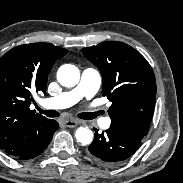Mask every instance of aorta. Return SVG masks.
Wrapping results in <instances>:
<instances>
[{
    "label": "aorta",
    "instance_id": "1",
    "mask_svg": "<svg viewBox=\"0 0 183 183\" xmlns=\"http://www.w3.org/2000/svg\"><path fill=\"white\" fill-rule=\"evenodd\" d=\"M57 80L62 86L73 87L79 83V69L74 65L64 64L58 69ZM75 137L78 142L88 145L93 140V132L88 127H79Z\"/></svg>",
    "mask_w": 183,
    "mask_h": 183
}]
</instances>
